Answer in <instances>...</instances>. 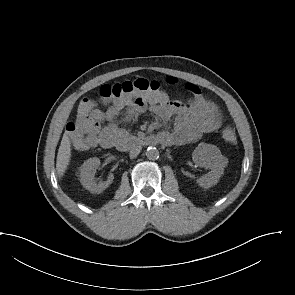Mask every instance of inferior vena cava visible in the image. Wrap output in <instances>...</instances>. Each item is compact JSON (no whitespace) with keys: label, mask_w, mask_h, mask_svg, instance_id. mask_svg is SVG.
<instances>
[{"label":"inferior vena cava","mask_w":295,"mask_h":295,"mask_svg":"<svg viewBox=\"0 0 295 295\" xmlns=\"http://www.w3.org/2000/svg\"><path fill=\"white\" fill-rule=\"evenodd\" d=\"M141 149L142 148H141L140 145H136V146L132 147L131 150H130V153H129L130 158L137 157L138 154L140 153Z\"/></svg>","instance_id":"602c4592"}]
</instances>
